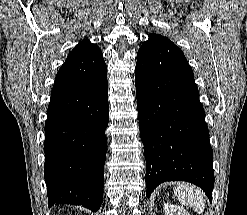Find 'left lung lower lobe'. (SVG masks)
Here are the masks:
<instances>
[{
  "mask_svg": "<svg viewBox=\"0 0 247 215\" xmlns=\"http://www.w3.org/2000/svg\"><path fill=\"white\" fill-rule=\"evenodd\" d=\"M135 85L146 158V196L165 181H188L212 200L213 150L194 74L171 41L149 38L138 51Z\"/></svg>",
  "mask_w": 247,
  "mask_h": 215,
  "instance_id": "0a47b994",
  "label": "left lung lower lobe"
}]
</instances>
